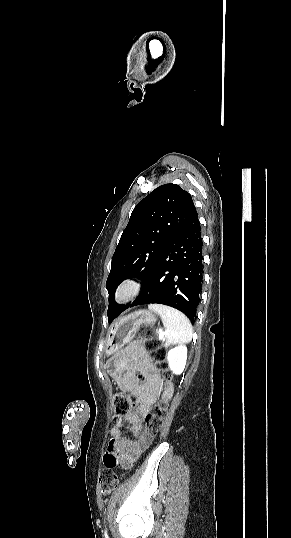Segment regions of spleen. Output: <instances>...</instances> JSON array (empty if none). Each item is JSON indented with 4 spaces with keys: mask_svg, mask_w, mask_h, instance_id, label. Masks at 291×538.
Instances as JSON below:
<instances>
[{
    "mask_svg": "<svg viewBox=\"0 0 291 538\" xmlns=\"http://www.w3.org/2000/svg\"><path fill=\"white\" fill-rule=\"evenodd\" d=\"M148 308L160 315L168 343H186L192 339V325L185 314L162 304H150Z\"/></svg>",
    "mask_w": 291,
    "mask_h": 538,
    "instance_id": "spleen-1",
    "label": "spleen"
}]
</instances>
